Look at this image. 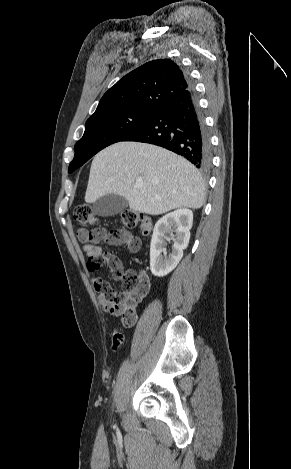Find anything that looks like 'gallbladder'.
<instances>
[{
  "label": "gallbladder",
  "instance_id": "obj_1",
  "mask_svg": "<svg viewBox=\"0 0 291 469\" xmlns=\"http://www.w3.org/2000/svg\"><path fill=\"white\" fill-rule=\"evenodd\" d=\"M128 207L127 200L118 194L110 193L98 198L92 205L93 212L102 217H109L123 212Z\"/></svg>",
  "mask_w": 291,
  "mask_h": 469
}]
</instances>
